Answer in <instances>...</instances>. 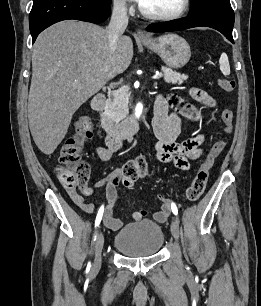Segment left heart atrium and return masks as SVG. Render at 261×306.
Segmentation results:
<instances>
[{"instance_id": "left-heart-atrium-1", "label": "left heart atrium", "mask_w": 261, "mask_h": 306, "mask_svg": "<svg viewBox=\"0 0 261 306\" xmlns=\"http://www.w3.org/2000/svg\"><path fill=\"white\" fill-rule=\"evenodd\" d=\"M133 1H136L138 2L139 4H141L143 2V0H133Z\"/></svg>"}]
</instances>
